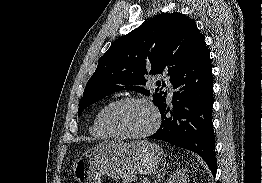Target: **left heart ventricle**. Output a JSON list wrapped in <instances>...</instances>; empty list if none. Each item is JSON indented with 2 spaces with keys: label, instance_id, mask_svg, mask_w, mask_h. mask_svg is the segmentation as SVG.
Segmentation results:
<instances>
[{
  "label": "left heart ventricle",
  "instance_id": "obj_1",
  "mask_svg": "<svg viewBox=\"0 0 262 183\" xmlns=\"http://www.w3.org/2000/svg\"><path fill=\"white\" fill-rule=\"evenodd\" d=\"M109 125L121 134H140L154 122L150 108L139 103H128L113 109L108 115Z\"/></svg>",
  "mask_w": 262,
  "mask_h": 183
}]
</instances>
